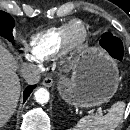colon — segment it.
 I'll return each instance as SVG.
<instances>
[{
  "mask_svg": "<svg viewBox=\"0 0 130 130\" xmlns=\"http://www.w3.org/2000/svg\"><path fill=\"white\" fill-rule=\"evenodd\" d=\"M102 47L113 57L121 59L124 54L123 42L111 33H104L101 38Z\"/></svg>",
  "mask_w": 130,
  "mask_h": 130,
  "instance_id": "5ec220e1",
  "label": "colon"
}]
</instances>
